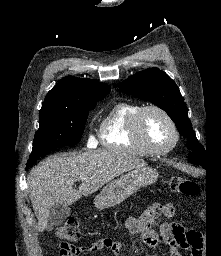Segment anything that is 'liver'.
I'll use <instances>...</instances> for the list:
<instances>
[{
  "mask_svg": "<svg viewBox=\"0 0 221 256\" xmlns=\"http://www.w3.org/2000/svg\"><path fill=\"white\" fill-rule=\"evenodd\" d=\"M144 166L147 163L143 159L115 149L59 154L40 162L27 178L38 231L47 228L54 204L72 205L82 195L92 194L119 175ZM78 181L82 183L76 190L73 185Z\"/></svg>",
  "mask_w": 221,
  "mask_h": 256,
  "instance_id": "liver-1",
  "label": "liver"
}]
</instances>
